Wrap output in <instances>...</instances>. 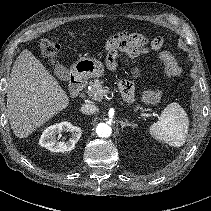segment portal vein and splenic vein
Segmentation results:
<instances>
[{
	"mask_svg": "<svg viewBox=\"0 0 211 211\" xmlns=\"http://www.w3.org/2000/svg\"><path fill=\"white\" fill-rule=\"evenodd\" d=\"M141 116H147L146 114H141ZM153 116H157L156 113H153Z\"/></svg>",
	"mask_w": 211,
	"mask_h": 211,
	"instance_id": "1",
	"label": "portal vein and splenic vein"
}]
</instances>
